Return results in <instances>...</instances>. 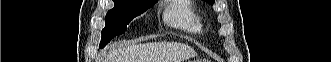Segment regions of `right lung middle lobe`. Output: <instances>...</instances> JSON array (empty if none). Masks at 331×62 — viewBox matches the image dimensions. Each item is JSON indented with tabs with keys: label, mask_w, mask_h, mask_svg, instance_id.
<instances>
[{
	"label": "right lung middle lobe",
	"mask_w": 331,
	"mask_h": 62,
	"mask_svg": "<svg viewBox=\"0 0 331 62\" xmlns=\"http://www.w3.org/2000/svg\"><path fill=\"white\" fill-rule=\"evenodd\" d=\"M114 8L106 15V26L102 30L100 45L105 46L116 35L123 34L128 24L137 16L143 14L156 2L144 0H113Z\"/></svg>",
	"instance_id": "right-lung-middle-lobe-1"
}]
</instances>
